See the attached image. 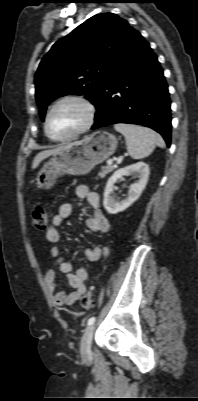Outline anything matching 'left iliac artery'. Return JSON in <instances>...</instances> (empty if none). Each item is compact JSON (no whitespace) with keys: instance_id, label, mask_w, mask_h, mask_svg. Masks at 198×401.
Returning <instances> with one entry per match:
<instances>
[{"instance_id":"1","label":"left iliac artery","mask_w":198,"mask_h":401,"mask_svg":"<svg viewBox=\"0 0 198 401\" xmlns=\"http://www.w3.org/2000/svg\"><path fill=\"white\" fill-rule=\"evenodd\" d=\"M94 322H95V317H91V318H89L87 324H88V326H90V325H92Z\"/></svg>"}]
</instances>
